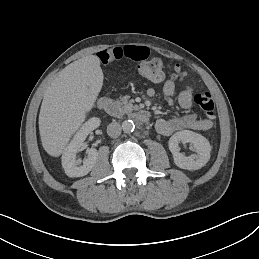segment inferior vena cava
Returning <instances> with one entry per match:
<instances>
[{"label": "inferior vena cava", "instance_id": "obj_1", "mask_svg": "<svg viewBox=\"0 0 259 259\" xmlns=\"http://www.w3.org/2000/svg\"><path fill=\"white\" fill-rule=\"evenodd\" d=\"M107 133L112 138H117L121 133V126L117 122H112L107 127Z\"/></svg>", "mask_w": 259, "mask_h": 259}]
</instances>
